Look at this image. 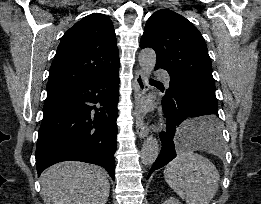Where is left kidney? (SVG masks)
Here are the masks:
<instances>
[{
	"mask_svg": "<svg viewBox=\"0 0 261 204\" xmlns=\"http://www.w3.org/2000/svg\"><path fill=\"white\" fill-rule=\"evenodd\" d=\"M163 204H182L178 199L170 197Z\"/></svg>",
	"mask_w": 261,
	"mask_h": 204,
	"instance_id": "5707ae66",
	"label": "left kidney"
}]
</instances>
